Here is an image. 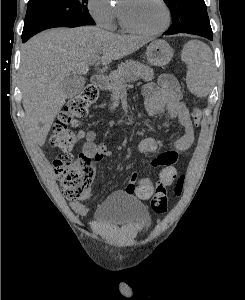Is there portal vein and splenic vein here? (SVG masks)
Listing matches in <instances>:
<instances>
[{"mask_svg":"<svg viewBox=\"0 0 245 300\" xmlns=\"http://www.w3.org/2000/svg\"><path fill=\"white\" fill-rule=\"evenodd\" d=\"M99 60V56L94 57L89 63L90 64H95Z\"/></svg>","mask_w":245,"mask_h":300,"instance_id":"18ae733b","label":"portal vein and splenic vein"}]
</instances>
